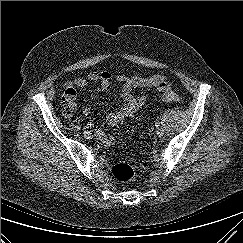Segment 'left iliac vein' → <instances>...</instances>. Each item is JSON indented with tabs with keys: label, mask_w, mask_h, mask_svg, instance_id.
I'll return each mask as SVG.
<instances>
[{
	"label": "left iliac vein",
	"mask_w": 243,
	"mask_h": 243,
	"mask_svg": "<svg viewBox=\"0 0 243 243\" xmlns=\"http://www.w3.org/2000/svg\"><path fill=\"white\" fill-rule=\"evenodd\" d=\"M156 134L158 137H162L164 135V129L163 128H157Z\"/></svg>",
	"instance_id": "left-iliac-vein-1"
}]
</instances>
